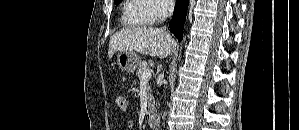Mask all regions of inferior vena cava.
I'll list each match as a JSON object with an SVG mask.
<instances>
[{
  "mask_svg": "<svg viewBox=\"0 0 299 130\" xmlns=\"http://www.w3.org/2000/svg\"><path fill=\"white\" fill-rule=\"evenodd\" d=\"M167 9H168V12H169V17H170L172 15L173 9H174L173 2H169Z\"/></svg>",
  "mask_w": 299,
  "mask_h": 130,
  "instance_id": "inferior-vena-cava-1",
  "label": "inferior vena cava"
}]
</instances>
